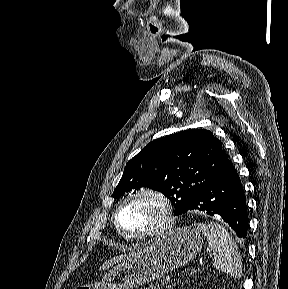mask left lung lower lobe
I'll list each match as a JSON object with an SVG mask.
<instances>
[{"mask_svg": "<svg viewBox=\"0 0 288 289\" xmlns=\"http://www.w3.org/2000/svg\"><path fill=\"white\" fill-rule=\"evenodd\" d=\"M189 210L220 216L238 237L247 236L246 199L239 175L229 159L200 190L185 212Z\"/></svg>", "mask_w": 288, "mask_h": 289, "instance_id": "1", "label": "left lung lower lobe"}]
</instances>
